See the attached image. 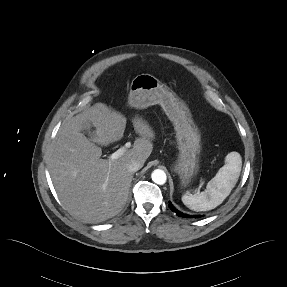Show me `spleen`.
<instances>
[{
	"mask_svg": "<svg viewBox=\"0 0 287 287\" xmlns=\"http://www.w3.org/2000/svg\"><path fill=\"white\" fill-rule=\"evenodd\" d=\"M242 159L238 152L225 157V165L208 182L206 190L194 195H183V204L194 211H208L219 206L231 193L240 176Z\"/></svg>",
	"mask_w": 287,
	"mask_h": 287,
	"instance_id": "obj_1",
	"label": "spleen"
}]
</instances>
